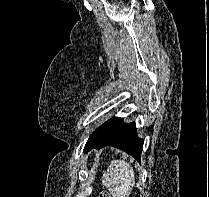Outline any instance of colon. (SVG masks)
Returning <instances> with one entry per match:
<instances>
[{
  "instance_id": "colon-1",
  "label": "colon",
  "mask_w": 209,
  "mask_h": 197,
  "mask_svg": "<svg viewBox=\"0 0 209 197\" xmlns=\"http://www.w3.org/2000/svg\"><path fill=\"white\" fill-rule=\"evenodd\" d=\"M99 197H111L108 192H102Z\"/></svg>"
}]
</instances>
